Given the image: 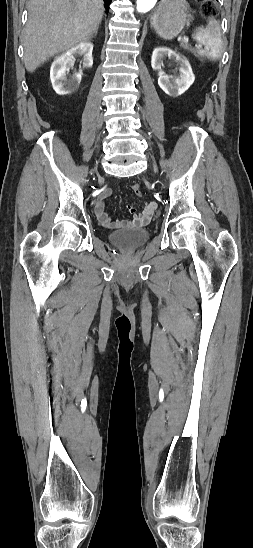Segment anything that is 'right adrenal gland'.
I'll return each mask as SVG.
<instances>
[{
  "label": "right adrenal gland",
  "instance_id": "obj_1",
  "mask_svg": "<svg viewBox=\"0 0 253 548\" xmlns=\"http://www.w3.org/2000/svg\"><path fill=\"white\" fill-rule=\"evenodd\" d=\"M96 35H97V31L91 37L96 36Z\"/></svg>",
  "mask_w": 253,
  "mask_h": 548
}]
</instances>
